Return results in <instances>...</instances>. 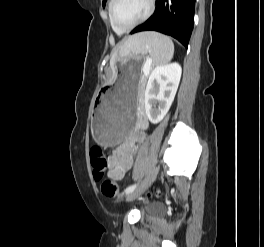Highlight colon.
<instances>
[{"label":"colon","mask_w":264,"mask_h":247,"mask_svg":"<svg viewBox=\"0 0 264 247\" xmlns=\"http://www.w3.org/2000/svg\"><path fill=\"white\" fill-rule=\"evenodd\" d=\"M90 161L95 179L100 180L104 177L108 167V159L100 147H93L90 151ZM102 193L107 197H116L118 188L111 180H105L101 184Z\"/></svg>","instance_id":"colon-1"}]
</instances>
